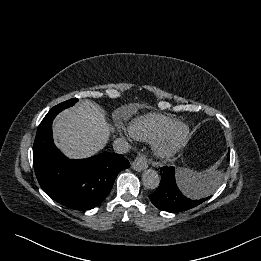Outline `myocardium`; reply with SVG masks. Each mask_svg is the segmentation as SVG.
<instances>
[{
	"label": "myocardium",
	"instance_id": "myocardium-1",
	"mask_svg": "<svg viewBox=\"0 0 261 261\" xmlns=\"http://www.w3.org/2000/svg\"><path fill=\"white\" fill-rule=\"evenodd\" d=\"M190 137V128L185 123H178L154 144L155 155L161 159L173 157L184 147Z\"/></svg>",
	"mask_w": 261,
	"mask_h": 261
}]
</instances>
